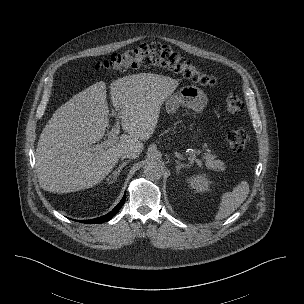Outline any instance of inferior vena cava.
<instances>
[{
  "label": "inferior vena cava",
  "instance_id": "obj_1",
  "mask_svg": "<svg viewBox=\"0 0 304 304\" xmlns=\"http://www.w3.org/2000/svg\"><path fill=\"white\" fill-rule=\"evenodd\" d=\"M139 152L137 150H129V151H125L121 154V157L124 158H129V159H135L137 157H139Z\"/></svg>",
  "mask_w": 304,
  "mask_h": 304
}]
</instances>
